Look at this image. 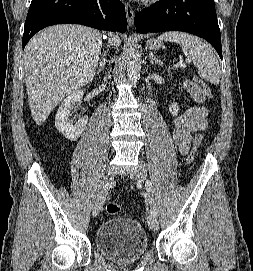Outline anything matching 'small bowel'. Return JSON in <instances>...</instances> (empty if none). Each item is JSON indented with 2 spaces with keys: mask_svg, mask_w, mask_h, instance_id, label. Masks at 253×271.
<instances>
[{
  "mask_svg": "<svg viewBox=\"0 0 253 271\" xmlns=\"http://www.w3.org/2000/svg\"><path fill=\"white\" fill-rule=\"evenodd\" d=\"M185 89L192 101L201 103L204 96L199 91L196 82L188 81ZM172 140L181 154L186 155L190 148L192 136L195 132L208 128L207 110L203 106L187 109L181 116L172 119Z\"/></svg>",
  "mask_w": 253,
  "mask_h": 271,
  "instance_id": "obj_1",
  "label": "small bowel"
}]
</instances>
